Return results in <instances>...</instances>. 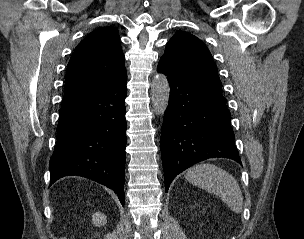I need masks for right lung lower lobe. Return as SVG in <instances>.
<instances>
[{
    "label": "right lung lower lobe",
    "mask_w": 304,
    "mask_h": 239,
    "mask_svg": "<svg viewBox=\"0 0 304 239\" xmlns=\"http://www.w3.org/2000/svg\"><path fill=\"white\" fill-rule=\"evenodd\" d=\"M127 74L59 110L51 184L67 175L111 188L124 205Z\"/></svg>",
    "instance_id": "right-lung-lower-lobe-1"
}]
</instances>
